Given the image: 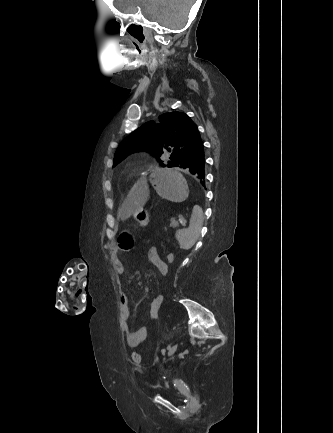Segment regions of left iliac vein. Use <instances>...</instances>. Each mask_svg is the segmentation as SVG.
<instances>
[{"mask_svg": "<svg viewBox=\"0 0 333 433\" xmlns=\"http://www.w3.org/2000/svg\"><path fill=\"white\" fill-rule=\"evenodd\" d=\"M177 347H178V345L175 344L174 346H172V347L170 348V350L168 351V356H169V357H171V356L176 352Z\"/></svg>", "mask_w": 333, "mask_h": 433, "instance_id": "obj_1", "label": "left iliac vein"}]
</instances>
